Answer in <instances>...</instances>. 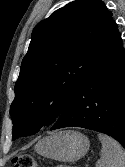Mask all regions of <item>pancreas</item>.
Returning a JSON list of instances; mask_svg holds the SVG:
<instances>
[{"label":"pancreas","instance_id":"cf45deb5","mask_svg":"<svg viewBox=\"0 0 125 167\" xmlns=\"http://www.w3.org/2000/svg\"><path fill=\"white\" fill-rule=\"evenodd\" d=\"M58 167H66V166H58Z\"/></svg>","mask_w":125,"mask_h":167}]
</instances>
